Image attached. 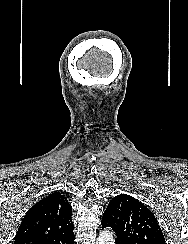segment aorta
<instances>
[{"label": "aorta", "instance_id": "762f6f07", "mask_svg": "<svg viewBox=\"0 0 188 244\" xmlns=\"http://www.w3.org/2000/svg\"><path fill=\"white\" fill-rule=\"evenodd\" d=\"M97 244H115L112 232L109 230L101 231L97 239Z\"/></svg>", "mask_w": 188, "mask_h": 244}]
</instances>
